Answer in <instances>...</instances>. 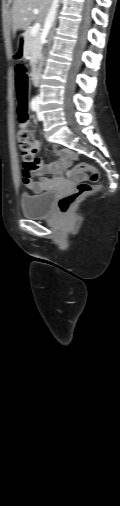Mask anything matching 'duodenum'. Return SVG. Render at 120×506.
I'll use <instances>...</instances> for the list:
<instances>
[{
  "label": "duodenum",
  "mask_w": 120,
  "mask_h": 506,
  "mask_svg": "<svg viewBox=\"0 0 120 506\" xmlns=\"http://www.w3.org/2000/svg\"><path fill=\"white\" fill-rule=\"evenodd\" d=\"M15 56L17 58H25L27 56V51H26V47L24 45H17L16 46V49H15ZM39 72H40V67H39V64L38 62L34 63L33 66H32V71H31V77H32V80L33 81H37L38 78H39Z\"/></svg>",
  "instance_id": "duodenum-1"
}]
</instances>
